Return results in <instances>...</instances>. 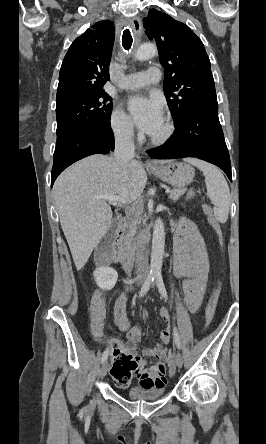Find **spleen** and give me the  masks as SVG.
Listing matches in <instances>:
<instances>
[{
    "label": "spleen",
    "mask_w": 266,
    "mask_h": 444,
    "mask_svg": "<svg viewBox=\"0 0 266 444\" xmlns=\"http://www.w3.org/2000/svg\"><path fill=\"white\" fill-rule=\"evenodd\" d=\"M185 161L203 172L207 194L214 205L215 217L220 223H225L230 208V191L223 174L218 168L202 160L187 158Z\"/></svg>",
    "instance_id": "1"
}]
</instances>
